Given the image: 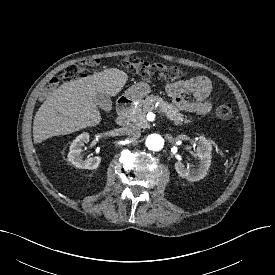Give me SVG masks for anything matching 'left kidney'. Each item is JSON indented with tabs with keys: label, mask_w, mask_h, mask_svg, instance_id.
Segmentation results:
<instances>
[{
	"label": "left kidney",
	"mask_w": 275,
	"mask_h": 275,
	"mask_svg": "<svg viewBox=\"0 0 275 275\" xmlns=\"http://www.w3.org/2000/svg\"><path fill=\"white\" fill-rule=\"evenodd\" d=\"M212 145L203 136L199 137V145L196 150V156L200 160L198 168H186L182 162L175 163V169L178 175L191 182L199 181L207 175V171L211 165Z\"/></svg>",
	"instance_id": "left-kidney-1"
}]
</instances>
